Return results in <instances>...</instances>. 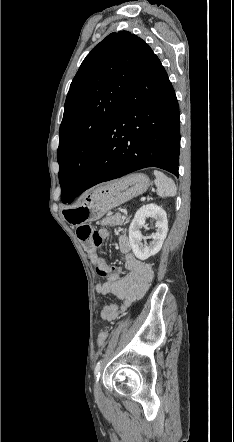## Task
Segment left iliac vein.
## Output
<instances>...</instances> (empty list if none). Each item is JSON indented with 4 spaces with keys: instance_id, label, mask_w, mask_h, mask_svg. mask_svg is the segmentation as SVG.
I'll return each mask as SVG.
<instances>
[{
    "instance_id": "left-iliac-vein-1",
    "label": "left iliac vein",
    "mask_w": 234,
    "mask_h": 442,
    "mask_svg": "<svg viewBox=\"0 0 234 442\" xmlns=\"http://www.w3.org/2000/svg\"><path fill=\"white\" fill-rule=\"evenodd\" d=\"M94 393H95V399H96V401H101V400H103V393H102V391H101V388H100V384H99V382H96L95 383V385H94Z\"/></svg>"
}]
</instances>
